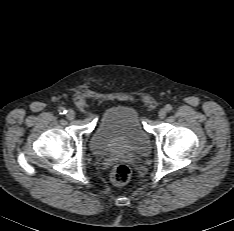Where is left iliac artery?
Returning a JSON list of instances; mask_svg holds the SVG:
<instances>
[{"label": "left iliac artery", "instance_id": "1", "mask_svg": "<svg viewBox=\"0 0 234 231\" xmlns=\"http://www.w3.org/2000/svg\"><path fill=\"white\" fill-rule=\"evenodd\" d=\"M165 110H166L167 112H170V111L172 110V106H171L170 104H167V105L165 106Z\"/></svg>", "mask_w": 234, "mask_h": 231}]
</instances>
